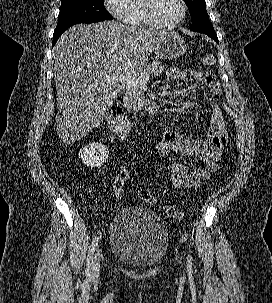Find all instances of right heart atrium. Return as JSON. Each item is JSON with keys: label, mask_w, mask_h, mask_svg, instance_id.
Listing matches in <instances>:
<instances>
[{"label": "right heart atrium", "mask_w": 272, "mask_h": 303, "mask_svg": "<svg viewBox=\"0 0 272 303\" xmlns=\"http://www.w3.org/2000/svg\"><path fill=\"white\" fill-rule=\"evenodd\" d=\"M104 4L111 15L125 21L130 0H104Z\"/></svg>", "instance_id": "d8ad5b80"}]
</instances>
